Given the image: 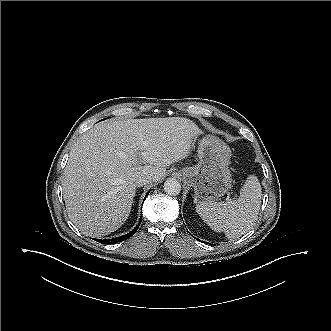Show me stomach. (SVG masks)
I'll return each instance as SVG.
<instances>
[{
  "instance_id": "0dacf381",
  "label": "stomach",
  "mask_w": 331,
  "mask_h": 331,
  "mask_svg": "<svg viewBox=\"0 0 331 331\" xmlns=\"http://www.w3.org/2000/svg\"><path fill=\"white\" fill-rule=\"evenodd\" d=\"M199 162L180 170L184 182L193 187L196 198L212 201L224 195L232 186L229 170L231 150L219 138L204 136L198 145Z\"/></svg>"
}]
</instances>
